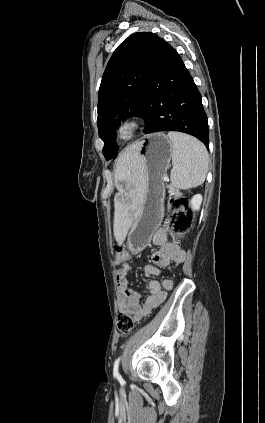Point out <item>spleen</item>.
<instances>
[{"mask_svg":"<svg viewBox=\"0 0 265 423\" xmlns=\"http://www.w3.org/2000/svg\"><path fill=\"white\" fill-rule=\"evenodd\" d=\"M173 144L171 183L178 189H190L205 181L209 157L199 140L179 132H169Z\"/></svg>","mask_w":265,"mask_h":423,"instance_id":"spleen-1","label":"spleen"}]
</instances>
